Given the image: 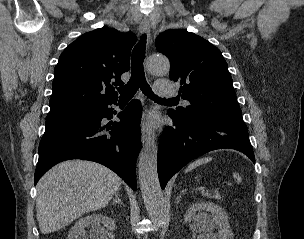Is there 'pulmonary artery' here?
Returning a JSON list of instances; mask_svg holds the SVG:
<instances>
[{
    "label": "pulmonary artery",
    "mask_w": 304,
    "mask_h": 239,
    "mask_svg": "<svg viewBox=\"0 0 304 239\" xmlns=\"http://www.w3.org/2000/svg\"><path fill=\"white\" fill-rule=\"evenodd\" d=\"M155 90L156 93L162 97H172L178 94L173 85L168 81H158L155 84Z\"/></svg>",
    "instance_id": "obj_1"
}]
</instances>
